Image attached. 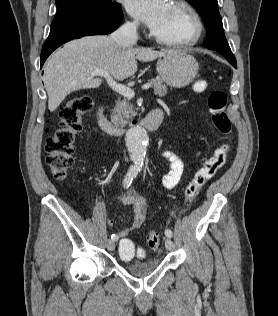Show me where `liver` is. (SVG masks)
<instances>
[{"instance_id": "1", "label": "liver", "mask_w": 278, "mask_h": 316, "mask_svg": "<svg viewBox=\"0 0 278 316\" xmlns=\"http://www.w3.org/2000/svg\"><path fill=\"white\" fill-rule=\"evenodd\" d=\"M164 55L150 48L119 46L105 35L86 36L66 43L44 67L43 82L48 94V108L55 111L67 95L97 88L101 79L94 75L103 70L122 81L137 71V59L148 62Z\"/></svg>"}]
</instances>
